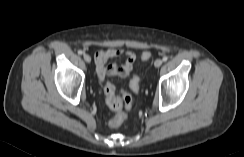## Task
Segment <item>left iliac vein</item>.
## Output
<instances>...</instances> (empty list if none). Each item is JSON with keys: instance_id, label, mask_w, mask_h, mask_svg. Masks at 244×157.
Listing matches in <instances>:
<instances>
[{"instance_id": "obj_1", "label": "left iliac vein", "mask_w": 244, "mask_h": 157, "mask_svg": "<svg viewBox=\"0 0 244 157\" xmlns=\"http://www.w3.org/2000/svg\"><path fill=\"white\" fill-rule=\"evenodd\" d=\"M161 65H162V60L161 59L155 60V62H154V66L155 67H160Z\"/></svg>"}]
</instances>
